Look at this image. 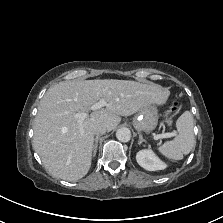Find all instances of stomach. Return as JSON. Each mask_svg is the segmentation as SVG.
<instances>
[{
	"label": "stomach",
	"instance_id": "obj_1",
	"mask_svg": "<svg viewBox=\"0 0 223 223\" xmlns=\"http://www.w3.org/2000/svg\"><path fill=\"white\" fill-rule=\"evenodd\" d=\"M158 124V112L154 104L142 108L134 119V127L138 131L151 132Z\"/></svg>",
	"mask_w": 223,
	"mask_h": 223
}]
</instances>
